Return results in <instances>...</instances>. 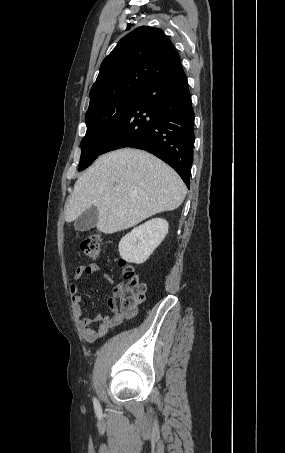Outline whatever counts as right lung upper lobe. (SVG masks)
Wrapping results in <instances>:
<instances>
[{
  "instance_id": "right-lung-upper-lobe-1",
  "label": "right lung upper lobe",
  "mask_w": 285,
  "mask_h": 453,
  "mask_svg": "<svg viewBox=\"0 0 285 453\" xmlns=\"http://www.w3.org/2000/svg\"><path fill=\"white\" fill-rule=\"evenodd\" d=\"M179 64L177 51L161 29L138 27L103 60L90 90L88 110L117 96L140 91L151 79Z\"/></svg>"
}]
</instances>
